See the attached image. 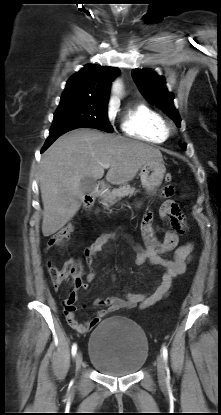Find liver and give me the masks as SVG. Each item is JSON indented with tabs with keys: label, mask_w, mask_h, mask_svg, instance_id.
Masks as SVG:
<instances>
[{
	"label": "liver",
	"mask_w": 221,
	"mask_h": 415,
	"mask_svg": "<svg viewBox=\"0 0 221 415\" xmlns=\"http://www.w3.org/2000/svg\"><path fill=\"white\" fill-rule=\"evenodd\" d=\"M153 160H162L159 149L121 136L84 128L62 135L40 162L43 235L56 233L74 217L84 198L81 179H101V164H110L107 182L120 185L131 181L145 163Z\"/></svg>",
	"instance_id": "obj_1"
}]
</instances>
